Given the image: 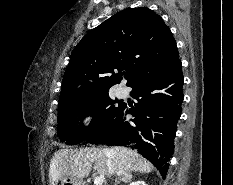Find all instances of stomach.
<instances>
[{
	"label": "stomach",
	"mask_w": 233,
	"mask_h": 185,
	"mask_svg": "<svg viewBox=\"0 0 233 185\" xmlns=\"http://www.w3.org/2000/svg\"><path fill=\"white\" fill-rule=\"evenodd\" d=\"M60 185H84L82 180L70 176L63 177Z\"/></svg>",
	"instance_id": "1"
}]
</instances>
